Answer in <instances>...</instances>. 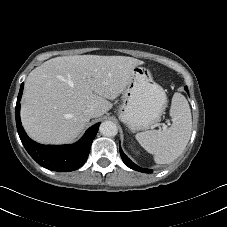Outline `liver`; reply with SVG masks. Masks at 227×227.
I'll return each mask as SVG.
<instances>
[{
  "label": "liver",
  "instance_id": "1",
  "mask_svg": "<svg viewBox=\"0 0 227 227\" xmlns=\"http://www.w3.org/2000/svg\"><path fill=\"white\" fill-rule=\"evenodd\" d=\"M144 62L126 56L56 57L30 72L25 82L21 121L27 134L43 144L76 139L90 121L112 108L109 100L125 90L133 69Z\"/></svg>",
  "mask_w": 227,
  "mask_h": 227
}]
</instances>
